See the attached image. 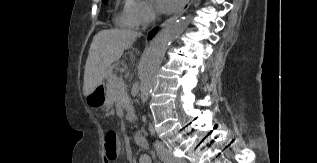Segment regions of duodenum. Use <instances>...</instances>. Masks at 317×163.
Wrapping results in <instances>:
<instances>
[{
    "mask_svg": "<svg viewBox=\"0 0 317 163\" xmlns=\"http://www.w3.org/2000/svg\"><path fill=\"white\" fill-rule=\"evenodd\" d=\"M133 139L139 147H146L147 146V140L142 132L135 131L133 134Z\"/></svg>",
    "mask_w": 317,
    "mask_h": 163,
    "instance_id": "410a0bca",
    "label": "duodenum"
}]
</instances>
